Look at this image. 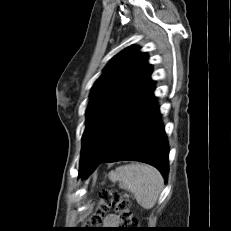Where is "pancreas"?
<instances>
[{
  "label": "pancreas",
  "instance_id": "1",
  "mask_svg": "<svg viewBox=\"0 0 231 231\" xmlns=\"http://www.w3.org/2000/svg\"><path fill=\"white\" fill-rule=\"evenodd\" d=\"M124 196H125V197H128V195H127V194H125Z\"/></svg>",
  "mask_w": 231,
  "mask_h": 231
}]
</instances>
